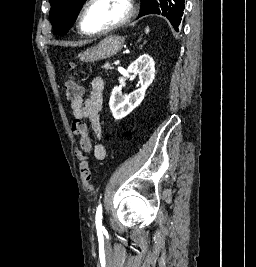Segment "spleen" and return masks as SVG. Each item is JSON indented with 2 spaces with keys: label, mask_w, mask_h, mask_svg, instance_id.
Masks as SVG:
<instances>
[{
  "label": "spleen",
  "mask_w": 256,
  "mask_h": 267,
  "mask_svg": "<svg viewBox=\"0 0 256 267\" xmlns=\"http://www.w3.org/2000/svg\"><path fill=\"white\" fill-rule=\"evenodd\" d=\"M149 32H150V30H149V28H148V26H147V28H146V30H145V34H149Z\"/></svg>",
  "instance_id": "3e777b00"
}]
</instances>
